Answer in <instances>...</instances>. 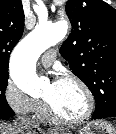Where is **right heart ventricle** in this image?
Listing matches in <instances>:
<instances>
[{
	"label": "right heart ventricle",
	"mask_w": 116,
	"mask_h": 134,
	"mask_svg": "<svg viewBox=\"0 0 116 134\" xmlns=\"http://www.w3.org/2000/svg\"><path fill=\"white\" fill-rule=\"evenodd\" d=\"M38 118L45 120L49 118V114L47 112V109L45 108V106H43L37 113Z\"/></svg>",
	"instance_id": "obj_1"
}]
</instances>
